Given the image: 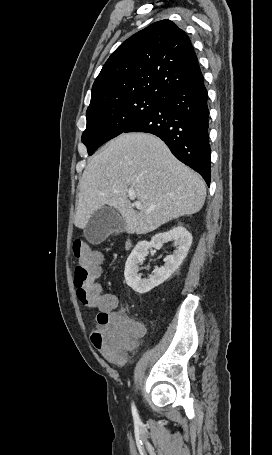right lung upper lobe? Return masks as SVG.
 Wrapping results in <instances>:
<instances>
[{"mask_svg":"<svg viewBox=\"0 0 272 455\" xmlns=\"http://www.w3.org/2000/svg\"><path fill=\"white\" fill-rule=\"evenodd\" d=\"M202 76L188 35L161 20L124 41L109 57L93 87L87 110L119 99L164 97Z\"/></svg>","mask_w":272,"mask_h":455,"instance_id":"1","label":"right lung upper lobe"}]
</instances>
